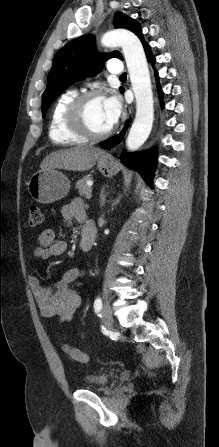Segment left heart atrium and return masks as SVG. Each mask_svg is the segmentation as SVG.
Returning <instances> with one entry per match:
<instances>
[{
	"label": "left heart atrium",
	"mask_w": 219,
	"mask_h": 447,
	"mask_svg": "<svg viewBox=\"0 0 219 447\" xmlns=\"http://www.w3.org/2000/svg\"><path fill=\"white\" fill-rule=\"evenodd\" d=\"M103 100L106 115L112 127L117 123L122 114V102L120 98L116 95L106 97Z\"/></svg>",
	"instance_id": "1"
}]
</instances>
